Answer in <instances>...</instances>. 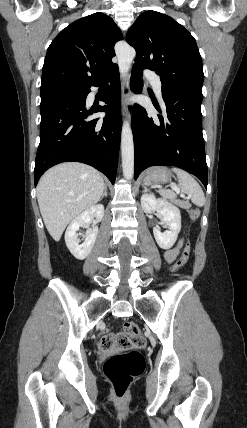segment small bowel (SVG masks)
Here are the masks:
<instances>
[{"mask_svg":"<svg viewBox=\"0 0 247 428\" xmlns=\"http://www.w3.org/2000/svg\"><path fill=\"white\" fill-rule=\"evenodd\" d=\"M181 245L182 240L180 239L174 247L165 251L164 258L168 263H172L177 258Z\"/></svg>","mask_w":247,"mask_h":428,"instance_id":"obj_1","label":"small bowel"}]
</instances>
